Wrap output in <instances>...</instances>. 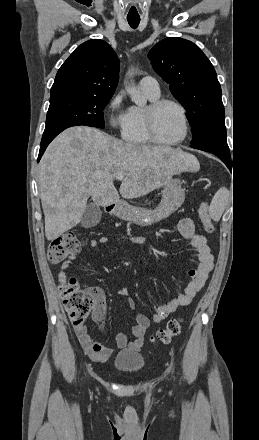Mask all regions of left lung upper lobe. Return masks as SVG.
I'll return each mask as SVG.
<instances>
[{
  "mask_svg": "<svg viewBox=\"0 0 259 440\" xmlns=\"http://www.w3.org/2000/svg\"><path fill=\"white\" fill-rule=\"evenodd\" d=\"M148 56L155 72L187 111L192 145L226 139L221 87L213 65L200 48L191 41L172 37L157 43Z\"/></svg>",
  "mask_w": 259,
  "mask_h": 440,
  "instance_id": "1",
  "label": "left lung upper lobe"
}]
</instances>
